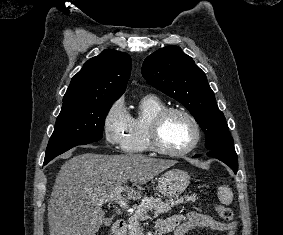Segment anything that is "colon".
Returning <instances> with one entry per match:
<instances>
[{
	"label": "colon",
	"instance_id": "obj_1",
	"mask_svg": "<svg viewBox=\"0 0 283 235\" xmlns=\"http://www.w3.org/2000/svg\"><path fill=\"white\" fill-rule=\"evenodd\" d=\"M215 211H216L218 217L222 221L230 222L233 219L232 210L225 205H221V204L215 205Z\"/></svg>",
	"mask_w": 283,
	"mask_h": 235
}]
</instances>
